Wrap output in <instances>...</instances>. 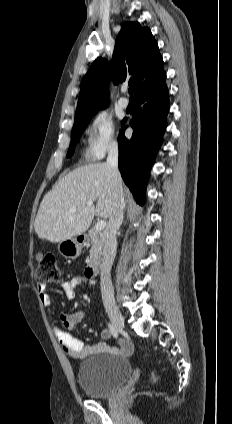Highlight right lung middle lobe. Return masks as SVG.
Here are the masks:
<instances>
[{
    "label": "right lung middle lobe",
    "instance_id": "right-lung-middle-lobe-1",
    "mask_svg": "<svg viewBox=\"0 0 232 424\" xmlns=\"http://www.w3.org/2000/svg\"><path fill=\"white\" fill-rule=\"evenodd\" d=\"M95 113H97V112H95ZM94 114H92L88 117H84V118L75 120L74 125H73V129H72V138H71V143H70L69 150H68V153H67V157L72 156V154L74 153L75 146H76V143L79 139L81 131L88 125V123L90 122V120L92 119Z\"/></svg>",
    "mask_w": 232,
    "mask_h": 424
}]
</instances>
